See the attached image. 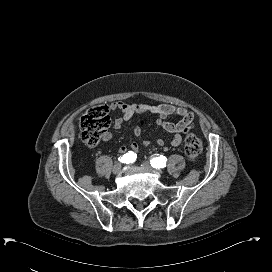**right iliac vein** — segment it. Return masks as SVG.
I'll use <instances>...</instances> for the list:
<instances>
[{"label": "right iliac vein", "instance_id": "1", "mask_svg": "<svg viewBox=\"0 0 272 272\" xmlns=\"http://www.w3.org/2000/svg\"><path fill=\"white\" fill-rule=\"evenodd\" d=\"M112 171L114 174H118L121 171V164L120 163H116L113 168Z\"/></svg>", "mask_w": 272, "mask_h": 272}]
</instances>
